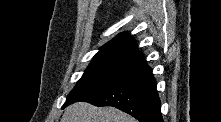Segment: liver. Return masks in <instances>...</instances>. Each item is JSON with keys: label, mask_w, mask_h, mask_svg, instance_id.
<instances>
[{"label": "liver", "mask_w": 221, "mask_h": 122, "mask_svg": "<svg viewBox=\"0 0 221 122\" xmlns=\"http://www.w3.org/2000/svg\"><path fill=\"white\" fill-rule=\"evenodd\" d=\"M61 122H136V120L114 107H96L87 102H77L66 108Z\"/></svg>", "instance_id": "6515ba94"}]
</instances>
